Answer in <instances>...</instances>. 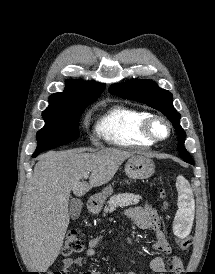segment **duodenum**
Wrapping results in <instances>:
<instances>
[{
  "label": "duodenum",
  "mask_w": 215,
  "mask_h": 274,
  "mask_svg": "<svg viewBox=\"0 0 215 274\" xmlns=\"http://www.w3.org/2000/svg\"><path fill=\"white\" fill-rule=\"evenodd\" d=\"M97 206V203L95 201V199L91 198L89 201H88V208L89 210L93 211Z\"/></svg>",
  "instance_id": "410a0bca"
}]
</instances>
